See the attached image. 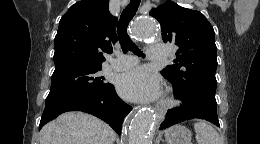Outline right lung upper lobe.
<instances>
[{"instance_id":"cb5924a9","label":"right lung upper lobe","mask_w":260,"mask_h":144,"mask_svg":"<svg viewBox=\"0 0 260 144\" xmlns=\"http://www.w3.org/2000/svg\"><path fill=\"white\" fill-rule=\"evenodd\" d=\"M109 0L75 3L61 18L55 36V69L74 64L101 65L117 41V18Z\"/></svg>"}]
</instances>
